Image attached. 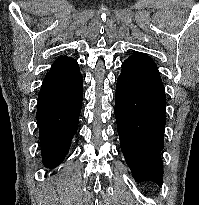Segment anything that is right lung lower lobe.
I'll list each match as a JSON object with an SVG mask.
<instances>
[{"instance_id":"right-lung-lower-lobe-1","label":"right lung lower lobe","mask_w":199,"mask_h":205,"mask_svg":"<svg viewBox=\"0 0 199 205\" xmlns=\"http://www.w3.org/2000/svg\"><path fill=\"white\" fill-rule=\"evenodd\" d=\"M83 99L80 70L68 76L47 73L38 94L36 120L43 164L58 166L78 129Z\"/></svg>"}]
</instances>
